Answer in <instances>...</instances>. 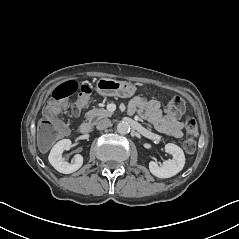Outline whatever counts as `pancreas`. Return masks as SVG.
Masks as SVG:
<instances>
[{
    "label": "pancreas",
    "instance_id": "pancreas-1",
    "mask_svg": "<svg viewBox=\"0 0 239 239\" xmlns=\"http://www.w3.org/2000/svg\"><path fill=\"white\" fill-rule=\"evenodd\" d=\"M112 114V112L104 108H93L88 113H86V117L88 118L89 122L96 124L100 119L111 117Z\"/></svg>",
    "mask_w": 239,
    "mask_h": 239
}]
</instances>
